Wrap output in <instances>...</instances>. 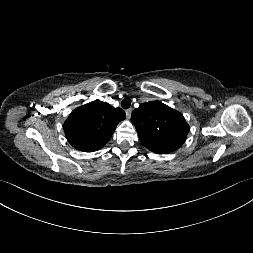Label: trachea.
<instances>
[{
  "label": "trachea",
  "mask_w": 253,
  "mask_h": 253,
  "mask_svg": "<svg viewBox=\"0 0 253 253\" xmlns=\"http://www.w3.org/2000/svg\"><path fill=\"white\" fill-rule=\"evenodd\" d=\"M131 105V99L128 98V97H125L122 102H121V106L124 108V109H128Z\"/></svg>",
  "instance_id": "obj_1"
}]
</instances>
